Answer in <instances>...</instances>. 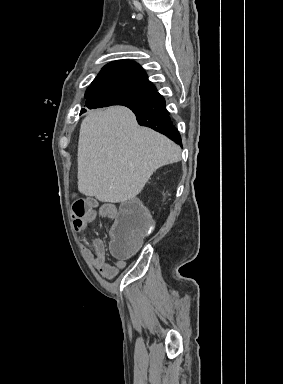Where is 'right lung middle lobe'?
Masks as SVG:
<instances>
[{
  "label": "right lung middle lobe",
  "instance_id": "1",
  "mask_svg": "<svg viewBox=\"0 0 283 384\" xmlns=\"http://www.w3.org/2000/svg\"><path fill=\"white\" fill-rule=\"evenodd\" d=\"M159 97L155 91H146L118 85H100L89 87L86 91V106L90 109L115 104L127 107H146ZM84 109H82L83 111Z\"/></svg>",
  "mask_w": 283,
  "mask_h": 384
}]
</instances>
